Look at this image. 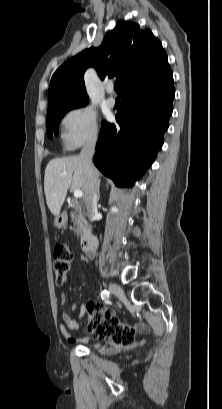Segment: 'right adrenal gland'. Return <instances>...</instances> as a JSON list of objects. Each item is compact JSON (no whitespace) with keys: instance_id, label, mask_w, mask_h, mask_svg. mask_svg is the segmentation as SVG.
Returning a JSON list of instances; mask_svg holds the SVG:
<instances>
[{"instance_id":"obj_1","label":"right adrenal gland","mask_w":222,"mask_h":409,"mask_svg":"<svg viewBox=\"0 0 222 409\" xmlns=\"http://www.w3.org/2000/svg\"><path fill=\"white\" fill-rule=\"evenodd\" d=\"M99 186H100V180H99ZM100 198V190L98 188V199Z\"/></svg>"}]
</instances>
